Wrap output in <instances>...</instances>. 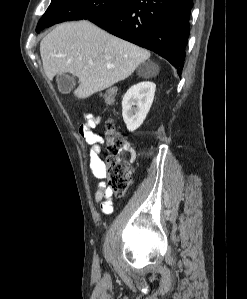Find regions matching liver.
<instances>
[{"mask_svg":"<svg viewBox=\"0 0 247 299\" xmlns=\"http://www.w3.org/2000/svg\"><path fill=\"white\" fill-rule=\"evenodd\" d=\"M49 80L61 73L78 77L74 92L85 99L118 83L150 57V52L104 31L88 20L65 22L40 43Z\"/></svg>","mask_w":247,"mask_h":299,"instance_id":"liver-1","label":"liver"}]
</instances>
